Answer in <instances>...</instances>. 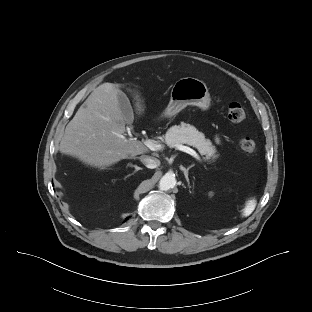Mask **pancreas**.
<instances>
[{"mask_svg":"<svg viewBox=\"0 0 312 312\" xmlns=\"http://www.w3.org/2000/svg\"><path fill=\"white\" fill-rule=\"evenodd\" d=\"M165 143L169 147H177L182 144L193 146L201 155L205 156L204 159L208 162H212L219 157L212 142L190 124L182 123L168 129L165 134Z\"/></svg>","mask_w":312,"mask_h":312,"instance_id":"obj_1","label":"pancreas"}]
</instances>
